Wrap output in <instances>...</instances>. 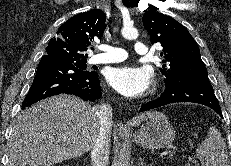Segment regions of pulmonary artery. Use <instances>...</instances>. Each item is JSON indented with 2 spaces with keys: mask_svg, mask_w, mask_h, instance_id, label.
Instances as JSON below:
<instances>
[{
  "mask_svg": "<svg viewBox=\"0 0 231 166\" xmlns=\"http://www.w3.org/2000/svg\"><path fill=\"white\" fill-rule=\"evenodd\" d=\"M134 49L137 54L139 55H146L148 54V47L141 42H136ZM103 53L94 55L91 58L92 64H105V63H116L125 60L128 57V53L125 49L110 46V45H103L101 47Z\"/></svg>",
  "mask_w": 231,
  "mask_h": 166,
  "instance_id": "pulmonary-artery-1",
  "label": "pulmonary artery"
}]
</instances>
